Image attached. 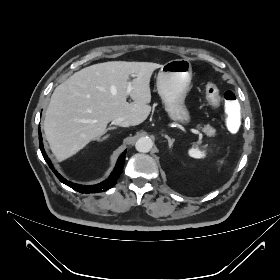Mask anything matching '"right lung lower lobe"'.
<instances>
[{"label":"right lung lower lobe","mask_w":280,"mask_h":280,"mask_svg":"<svg viewBox=\"0 0 280 280\" xmlns=\"http://www.w3.org/2000/svg\"><path fill=\"white\" fill-rule=\"evenodd\" d=\"M39 145H40V149H41V152H42V155H43L45 161L47 162L49 167L52 169L54 174L57 176V178L62 183L66 184L67 186L73 188L74 190H76L80 193H98V192L107 191L110 188H112L116 184V180L119 178L120 174L123 171L124 162H125V154L127 152V151H124L123 154L120 155L119 159L117 160L116 166L108 179H106L105 181H103L99 184H96V185L86 186V185L75 184L70 181H67L55 170V168L53 167V164L51 163L50 159L48 158L46 152L43 149L42 136H41L40 130H39Z\"/></svg>","instance_id":"98d812e1"}]
</instances>
